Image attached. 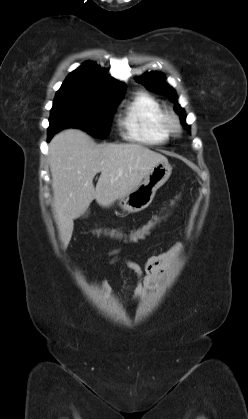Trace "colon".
<instances>
[{
  "label": "colon",
  "instance_id": "5ec220e1",
  "mask_svg": "<svg viewBox=\"0 0 248 419\" xmlns=\"http://www.w3.org/2000/svg\"><path fill=\"white\" fill-rule=\"evenodd\" d=\"M162 218V216H156L153 220L149 221L146 225H147V229L152 230L156 223ZM99 232L103 235H108V236H112V237H117L120 236L121 233L117 230H109V229H102L99 230Z\"/></svg>",
  "mask_w": 248,
  "mask_h": 419
}]
</instances>
